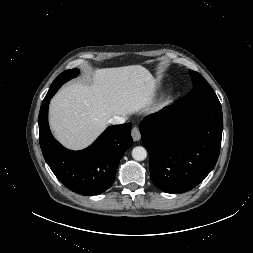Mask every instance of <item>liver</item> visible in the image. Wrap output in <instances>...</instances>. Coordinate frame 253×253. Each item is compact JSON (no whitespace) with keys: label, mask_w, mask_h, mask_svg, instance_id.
Instances as JSON below:
<instances>
[{"label":"liver","mask_w":253,"mask_h":253,"mask_svg":"<svg viewBox=\"0 0 253 253\" xmlns=\"http://www.w3.org/2000/svg\"><path fill=\"white\" fill-rule=\"evenodd\" d=\"M155 86V78L141 65L97 69L89 82L69 84L52 98L51 130L67 148L83 149L105 130L110 118L148 110Z\"/></svg>","instance_id":"1"}]
</instances>
